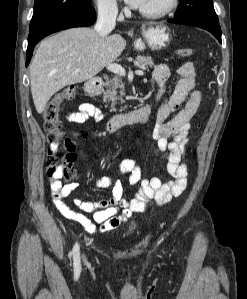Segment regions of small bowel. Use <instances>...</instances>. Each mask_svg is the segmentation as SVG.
Wrapping results in <instances>:
<instances>
[{"label":"small bowel","mask_w":247,"mask_h":299,"mask_svg":"<svg viewBox=\"0 0 247 299\" xmlns=\"http://www.w3.org/2000/svg\"><path fill=\"white\" fill-rule=\"evenodd\" d=\"M180 76L171 95L161 103L164 96L171 70L168 65L161 63L153 70V79L158 89L153 106L156 107V123L153 138L161 151H168L167 172L171 180L162 181L158 177L142 178L141 171L132 159H124L118 167V177H98L97 187L111 189L112 196L106 200L88 201L80 198L74 200L75 205L82 211L92 213L88 218L68 206L63 199L74 192L79 184L72 182L67 185L52 184V198L58 211L67 219L80 224L88 233H105L118 228L127 221L132 213L141 212L154 201L164 204L174 197L180 196L187 186L189 169L185 163L187 152L190 121L201 105V93L196 87V65L186 62L176 69ZM184 105L183 108L180 107ZM101 120L100 109L90 103H83L77 111L67 115L68 121L82 124L89 119ZM126 175L128 183L136 186L137 190L131 199L124 198V188L119 177Z\"/></svg>","instance_id":"obj_1"}]
</instances>
